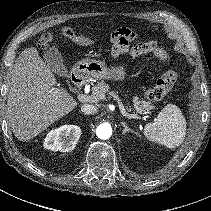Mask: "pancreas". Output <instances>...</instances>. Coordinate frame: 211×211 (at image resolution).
<instances>
[{"label": "pancreas", "mask_w": 211, "mask_h": 211, "mask_svg": "<svg viewBox=\"0 0 211 211\" xmlns=\"http://www.w3.org/2000/svg\"><path fill=\"white\" fill-rule=\"evenodd\" d=\"M110 92L113 91H110V87L105 81L97 82V84L92 87V96L95 98L94 101L104 100L106 98V94ZM133 106V110L137 113L149 112L154 109L151 102L140 100L137 96L133 98Z\"/></svg>", "instance_id": "cf45deb5"}]
</instances>
